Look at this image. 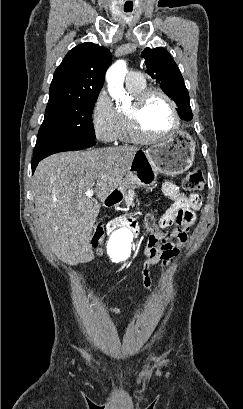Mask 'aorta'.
Segmentation results:
<instances>
[{"mask_svg": "<svg viewBox=\"0 0 243 409\" xmlns=\"http://www.w3.org/2000/svg\"><path fill=\"white\" fill-rule=\"evenodd\" d=\"M127 73L126 62L119 60L115 62L106 73L108 83V91L112 98L116 101H121L126 98L123 83ZM133 241L132 232L126 227L116 229L108 241V253L114 259L123 257L129 254Z\"/></svg>", "mask_w": 243, "mask_h": 409, "instance_id": "1", "label": "aorta"}]
</instances>
